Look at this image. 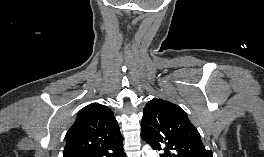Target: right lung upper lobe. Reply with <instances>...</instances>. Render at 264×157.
<instances>
[{
    "mask_svg": "<svg viewBox=\"0 0 264 157\" xmlns=\"http://www.w3.org/2000/svg\"><path fill=\"white\" fill-rule=\"evenodd\" d=\"M122 142L111 109L92 103L79 111L68 130L63 157H104L122 147Z\"/></svg>",
    "mask_w": 264,
    "mask_h": 157,
    "instance_id": "cb5924a9",
    "label": "right lung upper lobe"
}]
</instances>
